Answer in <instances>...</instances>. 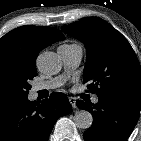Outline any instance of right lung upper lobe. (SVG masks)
I'll return each instance as SVG.
<instances>
[{
  "label": "right lung upper lobe",
  "instance_id": "1",
  "mask_svg": "<svg viewBox=\"0 0 141 141\" xmlns=\"http://www.w3.org/2000/svg\"><path fill=\"white\" fill-rule=\"evenodd\" d=\"M63 39V34L52 27H18L0 38V61L17 59L35 64L39 51Z\"/></svg>",
  "mask_w": 141,
  "mask_h": 141
}]
</instances>
